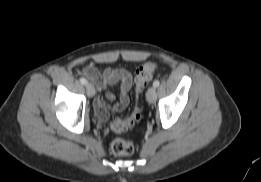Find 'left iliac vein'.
Returning a JSON list of instances; mask_svg holds the SVG:
<instances>
[{
	"instance_id": "left-iliac-vein-1",
	"label": "left iliac vein",
	"mask_w": 261,
	"mask_h": 182,
	"mask_svg": "<svg viewBox=\"0 0 261 182\" xmlns=\"http://www.w3.org/2000/svg\"><path fill=\"white\" fill-rule=\"evenodd\" d=\"M146 97H147L148 102H150V103H154L155 102L156 97H157L155 87H150L148 89V91L146 93Z\"/></svg>"
}]
</instances>
